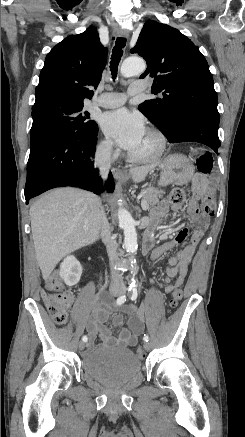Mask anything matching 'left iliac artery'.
<instances>
[{"mask_svg":"<svg viewBox=\"0 0 245 437\" xmlns=\"http://www.w3.org/2000/svg\"><path fill=\"white\" fill-rule=\"evenodd\" d=\"M129 292H130L131 300H136V298L138 296V291H137V285L135 282L131 283L130 288H129ZM143 340L145 342H148V340H149L148 335H144Z\"/></svg>","mask_w":245,"mask_h":437,"instance_id":"left-iliac-artery-1","label":"left iliac artery"}]
</instances>
